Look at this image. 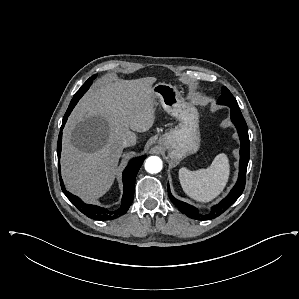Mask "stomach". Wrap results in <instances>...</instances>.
<instances>
[{"instance_id":"obj_1","label":"stomach","mask_w":299,"mask_h":299,"mask_svg":"<svg viewBox=\"0 0 299 299\" xmlns=\"http://www.w3.org/2000/svg\"><path fill=\"white\" fill-rule=\"evenodd\" d=\"M155 104L179 121V125L162 135L158 144L168 151L173 161H179L198 151L200 146L199 113L197 108L181 97L176 87L158 83L152 87Z\"/></svg>"}]
</instances>
